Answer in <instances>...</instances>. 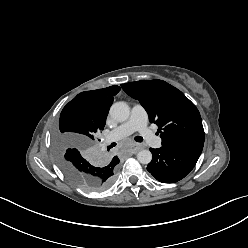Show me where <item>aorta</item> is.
I'll return each instance as SVG.
<instances>
[{
  "label": "aorta",
  "mask_w": 248,
  "mask_h": 248,
  "mask_svg": "<svg viewBox=\"0 0 248 248\" xmlns=\"http://www.w3.org/2000/svg\"><path fill=\"white\" fill-rule=\"evenodd\" d=\"M110 115L118 122L126 121L130 115V108L125 102H116L110 108ZM137 160L141 164H149L152 160V154L149 150H141L137 154Z\"/></svg>",
  "instance_id": "1"
}]
</instances>
